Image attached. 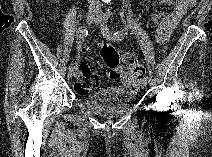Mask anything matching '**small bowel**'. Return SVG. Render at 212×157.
Instances as JSON below:
<instances>
[{
	"mask_svg": "<svg viewBox=\"0 0 212 157\" xmlns=\"http://www.w3.org/2000/svg\"><path fill=\"white\" fill-rule=\"evenodd\" d=\"M194 5V0H183L177 3L174 11L164 20V24L162 27L158 29V39L162 44H165L171 35L173 29L176 27L177 23L184 15L186 10ZM77 50L80 54H86L93 51V48L83 42H77ZM80 67L86 69L88 68L87 64L83 63ZM140 79L131 81L129 83H125L126 86H134L138 87L140 84Z\"/></svg>",
	"mask_w": 212,
	"mask_h": 157,
	"instance_id": "1",
	"label": "small bowel"
}]
</instances>
